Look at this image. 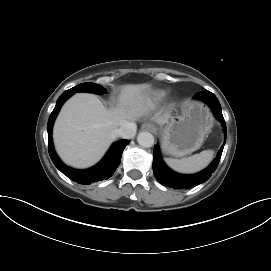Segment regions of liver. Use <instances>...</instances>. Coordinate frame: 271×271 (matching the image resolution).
I'll return each mask as SVG.
<instances>
[{
  "instance_id": "1",
  "label": "liver",
  "mask_w": 271,
  "mask_h": 271,
  "mask_svg": "<svg viewBox=\"0 0 271 271\" xmlns=\"http://www.w3.org/2000/svg\"><path fill=\"white\" fill-rule=\"evenodd\" d=\"M148 84L121 87L117 107L107 109L91 93H77L62 107L53 129L57 153L68 165L88 168L96 164L116 139V130L141 115L143 92ZM169 114L157 118L168 122Z\"/></svg>"
}]
</instances>
